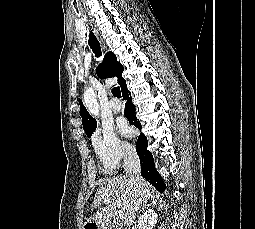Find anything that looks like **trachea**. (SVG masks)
I'll use <instances>...</instances> for the list:
<instances>
[{
  "mask_svg": "<svg viewBox=\"0 0 255 229\" xmlns=\"http://www.w3.org/2000/svg\"><path fill=\"white\" fill-rule=\"evenodd\" d=\"M89 45H90V48L95 53L96 57H100L102 55L99 41L97 40L96 36L92 32H90V35H89ZM112 94L117 98H121L120 88L114 87L112 89Z\"/></svg>",
  "mask_w": 255,
  "mask_h": 229,
  "instance_id": "trachea-1",
  "label": "trachea"
}]
</instances>
